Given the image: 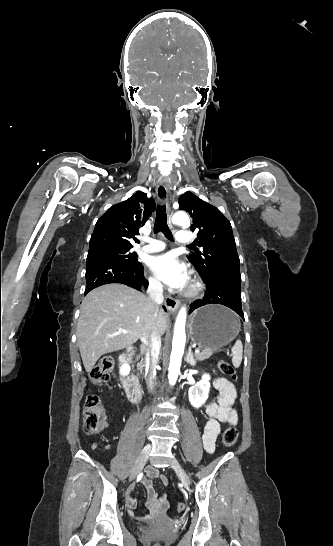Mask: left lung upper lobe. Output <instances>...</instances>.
<instances>
[{
	"instance_id": "left-lung-upper-lobe-1",
	"label": "left lung upper lobe",
	"mask_w": 333,
	"mask_h": 546,
	"mask_svg": "<svg viewBox=\"0 0 333 546\" xmlns=\"http://www.w3.org/2000/svg\"><path fill=\"white\" fill-rule=\"evenodd\" d=\"M179 208L192 217L191 230H198L196 244L203 250L192 251L188 259L202 279L208 280L212 275L227 270H239L240 261L228 219L216 207L191 192L179 197Z\"/></svg>"
}]
</instances>
